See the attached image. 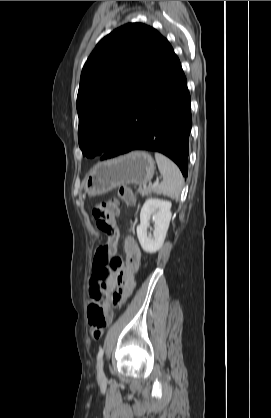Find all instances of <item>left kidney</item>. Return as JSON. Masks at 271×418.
Listing matches in <instances>:
<instances>
[{
  "label": "left kidney",
  "instance_id": "1",
  "mask_svg": "<svg viewBox=\"0 0 271 418\" xmlns=\"http://www.w3.org/2000/svg\"><path fill=\"white\" fill-rule=\"evenodd\" d=\"M171 205L170 201L149 198L142 206L137 237L145 252L152 254L162 247L171 220ZM151 218L154 222L153 235L148 232Z\"/></svg>",
  "mask_w": 271,
  "mask_h": 418
}]
</instances>
